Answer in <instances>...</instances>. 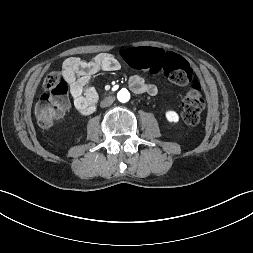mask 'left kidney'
<instances>
[{
	"instance_id": "1",
	"label": "left kidney",
	"mask_w": 253,
	"mask_h": 253,
	"mask_svg": "<svg viewBox=\"0 0 253 253\" xmlns=\"http://www.w3.org/2000/svg\"><path fill=\"white\" fill-rule=\"evenodd\" d=\"M165 116L170 123H177L179 121V115L173 110L167 111Z\"/></svg>"
}]
</instances>
